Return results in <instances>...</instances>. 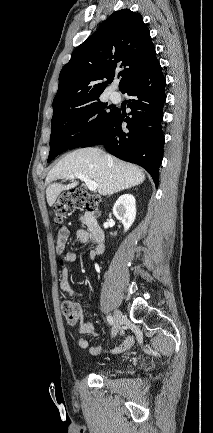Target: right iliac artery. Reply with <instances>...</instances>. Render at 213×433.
Wrapping results in <instances>:
<instances>
[{
    "instance_id": "82829eb1",
    "label": "right iliac artery",
    "mask_w": 213,
    "mask_h": 433,
    "mask_svg": "<svg viewBox=\"0 0 213 433\" xmlns=\"http://www.w3.org/2000/svg\"><path fill=\"white\" fill-rule=\"evenodd\" d=\"M107 321L110 325H112L114 323L113 317L112 316H107Z\"/></svg>"
}]
</instances>
